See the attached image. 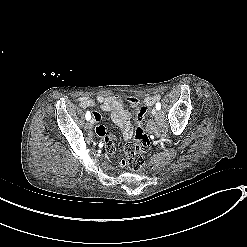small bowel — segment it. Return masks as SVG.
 <instances>
[{"mask_svg":"<svg viewBox=\"0 0 247 247\" xmlns=\"http://www.w3.org/2000/svg\"><path fill=\"white\" fill-rule=\"evenodd\" d=\"M160 96H148L144 99V103L146 105H153L155 102L159 101ZM79 106L82 109H87L93 107L98 104L100 109L104 112H109L113 122L119 126L121 129L122 135L125 139H129L132 135V127L129 122L131 117L130 112L124 107L123 99L120 96L112 95V96H104L98 95L95 98H91L89 96H81L78 98ZM127 102L132 106H138L139 100L136 97H128ZM134 110H138V107H134ZM90 115L97 119V122L100 124L96 126L95 131L98 137L104 138L105 144L104 147L106 150L111 151L114 149L117 140L114 138L115 133L113 130H106L103 121V115L99 113L97 110H92Z\"/></svg>","mask_w":247,"mask_h":247,"instance_id":"obj_1","label":"small bowel"}]
</instances>
